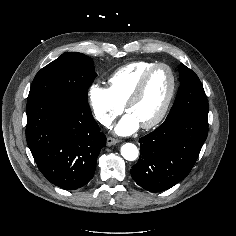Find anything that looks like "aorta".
<instances>
[{
    "label": "aorta",
    "mask_w": 236,
    "mask_h": 236,
    "mask_svg": "<svg viewBox=\"0 0 236 236\" xmlns=\"http://www.w3.org/2000/svg\"><path fill=\"white\" fill-rule=\"evenodd\" d=\"M121 155L128 161H134L138 158V148L132 143H126L121 147Z\"/></svg>",
    "instance_id": "aorta-1"
}]
</instances>
